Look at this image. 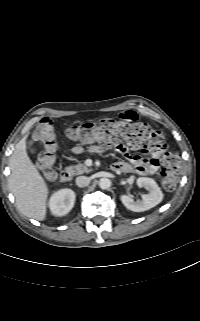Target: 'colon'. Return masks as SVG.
Listing matches in <instances>:
<instances>
[{
  "label": "colon",
  "mask_w": 200,
  "mask_h": 321,
  "mask_svg": "<svg viewBox=\"0 0 200 321\" xmlns=\"http://www.w3.org/2000/svg\"><path fill=\"white\" fill-rule=\"evenodd\" d=\"M67 135L86 144L116 148L121 152L128 148L164 151L166 147L162 134L136 117L121 116L117 119L107 118L95 123L72 126L67 130ZM33 140L43 147L39 167L47 178H52L55 174L56 145L54 123L51 119L44 118L40 121ZM163 160L161 184L165 190L173 191L181 172L179 160L176 155L170 153H164Z\"/></svg>",
  "instance_id": "1"
}]
</instances>
